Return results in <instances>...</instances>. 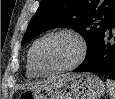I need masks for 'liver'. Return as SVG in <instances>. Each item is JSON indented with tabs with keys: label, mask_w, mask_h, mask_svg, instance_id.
Wrapping results in <instances>:
<instances>
[{
	"label": "liver",
	"mask_w": 115,
	"mask_h": 99,
	"mask_svg": "<svg viewBox=\"0 0 115 99\" xmlns=\"http://www.w3.org/2000/svg\"><path fill=\"white\" fill-rule=\"evenodd\" d=\"M39 86H43V85H35V86H32L31 88H36V87H39Z\"/></svg>",
	"instance_id": "liver-1"
}]
</instances>
